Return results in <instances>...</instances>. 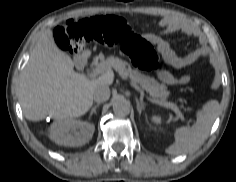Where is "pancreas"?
<instances>
[{
    "mask_svg": "<svg viewBox=\"0 0 236 182\" xmlns=\"http://www.w3.org/2000/svg\"><path fill=\"white\" fill-rule=\"evenodd\" d=\"M105 65L107 68L113 67L123 78H130L134 83H137L146 90L152 97L157 100L165 101L169 92L165 85L159 84L154 78L140 73L138 70L131 69L126 62L117 58L99 57V64Z\"/></svg>",
    "mask_w": 236,
    "mask_h": 182,
    "instance_id": "obj_1",
    "label": "pancreas"
}]
</instances>
